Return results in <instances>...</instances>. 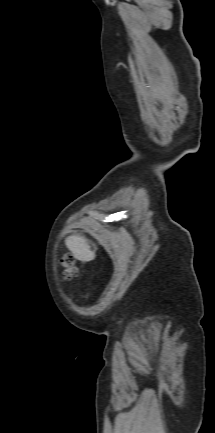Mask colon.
<instances>
[{
    "instance_id": "1",
    "label": "colon",
    "mask_w": 215,
    "mask_h": 433,
    "mask_svg": "<svg viewBox=\"0 0 215 433\" xmlns=\"http://www.w3.org/2000/svg\"><path fill=\"white\" fill-rule=\"evenodd\" d=\"M62 266L64 268L63 275L66 278H72L78 274V268L75 264V259L72 255L66 254L63 256Z\"/></svg>"
}]
</instances>
